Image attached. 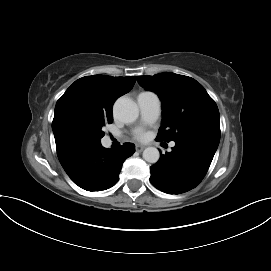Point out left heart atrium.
<instances>
[{
	"label": "left heart atrium",
	"instance_id": "1",
	"mask_svg": "<svg viewBox=\"0 0 271 271\" xmlns=\"http://www.w3.org/2000/svg\"><path fill=\"white\" fill-rule=\"evenodd\" d=\"M135 137L139 140H146L148 138V133L144 130H139L136 132Z\"/></svg>",
	"mask_w": 271,
	"mask_h": 271
}]
</instances>
